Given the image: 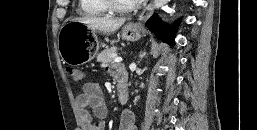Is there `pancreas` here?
Instances as JSON below:
<instances>
[{
	"instance_id": "cf45deb5",
	"label": "pancreas",
	"mask_w": 257,
	"mask_h": 130,
	"mask_svg": "<svg viewBox=\"0 0 257 130\" xmlns=\"http://www.w3.org/2000/svg\"><path fill=\"white\" fill-rule=\"evenodd\" d=\"M117 50L118 48L115 46L103 50L100 54H98L97 61L106 65L112 63L115 58Z\"/></svg>"
}]
</instances>
